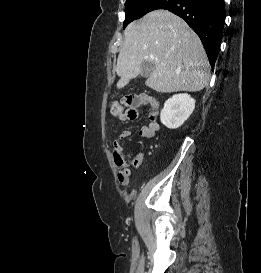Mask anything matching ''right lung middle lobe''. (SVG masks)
I'll return each instance as SVG.
<instances>
[{
    "label": "right lung middle lobe",
    "instance_id": "dd1d6c3e",
    "mask_svg": "<svg viewBox=\"0 0 261 273\" xmlns=\"http://www.w3.org/2000/svg\"><path fill=\"white\" fill-rule=\"evenodd\" d=\"M155 0H126L125 6V21L123 24V28H125L131 21L141 18L146 13H148V9L150 4H152Z\"/></svg>",
    "mask_w": 261,
    "mask_h": 273
}]
</instances>
